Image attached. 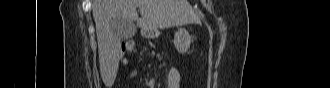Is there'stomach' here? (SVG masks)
<instances>
[{
	"label": "stomach",
	"instance_id": "0dacf381",
	"mask_svg": "<svg viewBox=\"0 0 330 88\" xmlns=\"http://www.w3.org/2000/svg\"><path fill=\"white\" fill-rule=\"evenodd\" d=\"M156 34L157 30L150 31L147 34V37L153 38ZM174 44L180 53H186L189 50L191 44L190 34L185 29H178V31L175 33Z\"/></svg>",
	"mask_w": 330,
	"mask_h": 88
}]
</instances>
